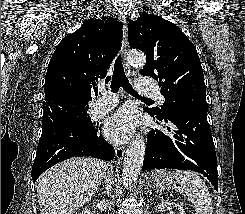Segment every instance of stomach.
I'll list each match as a JSON object with an SVG mask.
<instances>
[{
    "label": "stomach",
    "instance_id": "0dacf381",
    "mask_svg": "<svg viewBox=\"0 0 245 214\" xmlns=\"http://www.w3.org/2000/svg\"><path fill=\"white\" fill-rule=\"evenodd\" d=\"M149 181L155 188H159L161 190L169 189L173 185L172 175L163 171L152 172Z\"/></svg>",
    "mask_w": 245,
    "mask_h": 214
}]
</instances>
